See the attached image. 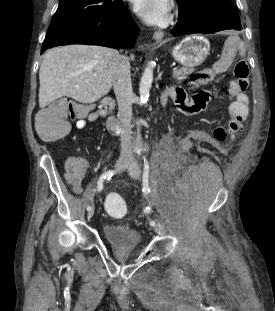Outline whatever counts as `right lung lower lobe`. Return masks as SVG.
Wrapping results in <instances>:
<instances>
[{
  "label": "right lung lower lobe",
  "instance_id": "1",
  "mask_svg": "<svg viewBox=\"0 0 275 311\" xmlns=\"http://www.w3.org/2000/svg\"><path fill=\"white\" fill-rule=\"evenodd\" d=\"M139 28L124 4L109 13L60 23L49 28L41 48L66 44H90L111 48L133 47Z\"/></svg>",
  "mask_w": 275,
  "mask_h": 311
}]
</instances>
